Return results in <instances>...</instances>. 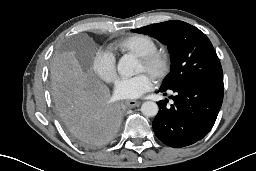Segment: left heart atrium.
I'll return each instance as SVG.
<instances>
[{"mask_svg":"<svg viewBox=\"0 0 256 171\" xmlns=\"http://www.w3.org/2000/svg\"><path fill=\"white\" fill-rule=\"evenodd\" d=\"M152 87V78L146 73H141L117 81L114 94L119 99H136L151 90Z\"/></svg>","mask_w":256,"mask_h":171,"instance_id":"left-heart-atrium-1","label":"left heart atrium"}]
</instances>
